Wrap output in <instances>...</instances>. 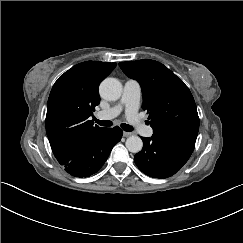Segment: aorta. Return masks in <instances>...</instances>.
Segmentation results:
<instances>
[{"mask_svg": "<svg viewBox=\"0 0 243 243\" xmlns=\"http://www.w3.org/2000/svg\"><path fill=\"white\" fill-rule=\"evenodd\" d=\"M122 84L115 78L105 79L99 88L100 96L109 101H116L122 95ZM125 146L128 151L137 153L142 149L143 143L140 137L133 135L126 139Z\"/></svg>", "mask_w": 243, "mask_h": 243, "instance_id": "aorta-1", "label": "aorta"}]
</instances>
